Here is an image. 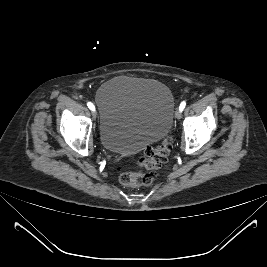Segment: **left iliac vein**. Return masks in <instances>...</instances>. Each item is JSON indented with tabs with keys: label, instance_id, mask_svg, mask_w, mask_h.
<instances>
[{
	"label": "left iliac vein",
	"instance_id": "left-iliac-vein-1",
	"mask_svg": "<svg viewBox=\"0 0 267 267\" xmlns=\"http://www.w3.org/2000/svg\"><path fill=\"white\" fill-rule=\"evenodd\" d=\"M175 116L177 119H180L182 117V112L180 111V109H177Z\"/></svg>",
	"mask_w": 267,
	"mask_h": 267
}]
</instances>
